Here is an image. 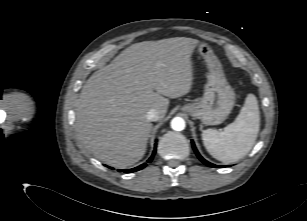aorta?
I'll use <instances>...</instances> for the list:
<instances>
[{
	"label": "aorta",
	"instance_id": "aorta-1",
	"mask_svg": "<svg viewBox=\"0 0 307 221\" xmlns=\"http://www.w3.org/2000/svg\"><path fill=\"white\" fill-rule=\"evenodd\" d=\"M185 120L181 117H175L171 120V128L175 131H182L185 129Z\"/></svg>",
	"mask_w": 307,
	"mask_h": 221
}]
</instances>
